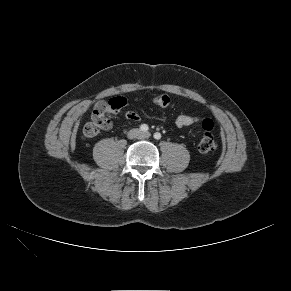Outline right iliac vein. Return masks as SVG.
<instances>
[{"mask_svg": "<svg viewBox=\"0 0 291 291\" xmlns=\"http://www.w3.org/2000/svg\"><path fill=\"white\" fill-rule=\"evenodd\" d=\"M140 135H141L140 131L136 128L131 129L127 134L128 138L130 139L138 138L140 137Z\"/></svg>", "mask_w": 291, "mask_h": 291, "instance_id": "1", "label": "right iliac vein"}]
</instances>
